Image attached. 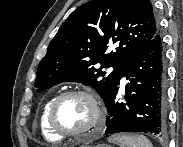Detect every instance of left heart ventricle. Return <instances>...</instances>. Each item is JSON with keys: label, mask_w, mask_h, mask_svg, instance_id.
<instances>
[{"label": "left heart ventricle", "mask_w": 183, "mask_h": 147, "mask_svg": "<svg viewBox=\"0 0 183 147\" xmlns=\"http://www.w3.org/2000/svg\"><path fill=\"white\" fill-rule=\"evenodd\" d=\"M93 118L88 100L81 96H71L61 102L56 111L57 124L69 131L87 127Z\"/></svg>", "instance_id": "1"}]
</instances>
